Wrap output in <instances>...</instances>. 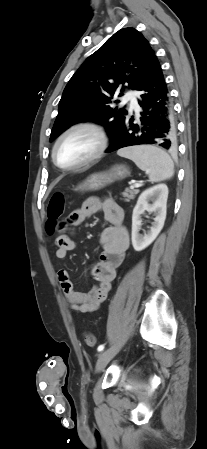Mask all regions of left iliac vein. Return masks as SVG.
<instances>
[{
  "mask_svg": "<svg viewBox=\"0 0 207 449\" xmlns=\"http://www.w3.org/2000/svg\"><path fill=\"white\" fill-rule=\"evenodd\" d=\"M120 348V345H116V346H112L109 349H106L105 351H103L97 360L96 363V370L102 371L106 365L110 362V360L115 356V354L118 352Z\"/></svg>",
  "mask_w": 207,
  "mask_h": 449,
  "instance_id": "4c4485c4",
  "label": "left iliac vein"
}]
</instances>
